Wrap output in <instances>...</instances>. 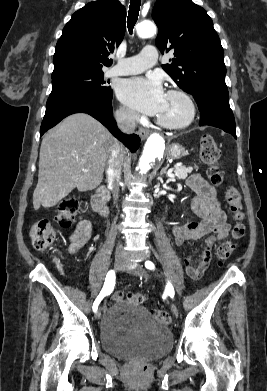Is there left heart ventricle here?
<instances>
[{
    "label": "left heart ventricle",
    "instance_id": "left-heart-ventricle-1",
    "mask_svg": "<svg viewBox=\"0 0 267 391\" xmlns=\"http://www.w3.org/2000/svg\"><path fill=\"white\" fill-rule=\"evenodd\" d=\"M187 114V105L180 97L166 95L163 108L158 117L170 122H181Z\"/></svg>",
    "mask_w": 267,
    "mask_h": 391
}]
</instances>
